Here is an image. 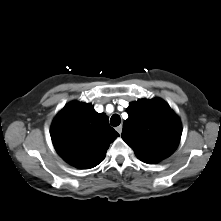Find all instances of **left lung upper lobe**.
I'll use <instances>...</instances> for the list:
<instances>
[{"label":"left lung upper lobe","mask_w":221,"mask_h":221,"mask_svg":"<svg viewBox=\"0 0 221 221\" xmlns=\"http://www.w3.org/2000/svg\"><path fill=\"white\" fill-rule=\"evenodd\" d=\"M122 138L141 161L152 164L170 156L181 137V122L169 105L159 99L131 102Z\"/></svg>","instance_id":"left-lung-upper-lobe-1"}]
</instances>
